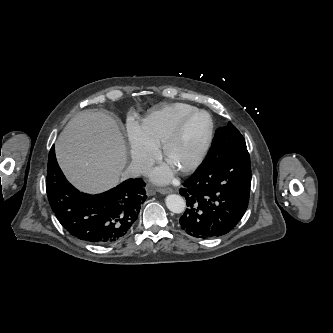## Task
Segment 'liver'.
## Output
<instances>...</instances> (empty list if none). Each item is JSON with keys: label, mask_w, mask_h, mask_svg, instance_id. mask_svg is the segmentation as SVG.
Segmentation results:
<instances>
[{"label": "liver", "mask_w": 333, "mask_h": 333, "mask_svg": "<svg viewBox=\"0 0 333 333\" xmlns=\"http://www.w3.org/2000/svg\"><path fill=\"white\" fill-rule=\"evenodd\" d=\"M55 150L67 179L90 193L116 185L127 160L119 127L103 112L77 114L60 134Z\"/></svg>", "instance_id": "1"}]
</instances>
